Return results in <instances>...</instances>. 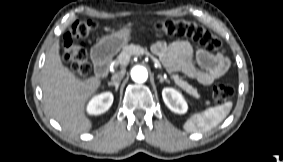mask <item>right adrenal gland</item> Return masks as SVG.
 I'll return each mask as SVG.
<instances>
[{
  "instance_id": "obj_1",
  "label": "right adrenal gland",
  "mask_w": 283,
  "mask_h": 162,
  "mask_svg": "<svg viewBox=\"0 0 283 162\" xmlns=\"http://www.w3.org/2000/svg\"><path fill=\"white\" fill-rule=\"evenodd\" d=\"M119 85H120V83H112V82L108 83V86H114L115 87L116 92L118 91Z\"/></svg>"
}]
</instances>
